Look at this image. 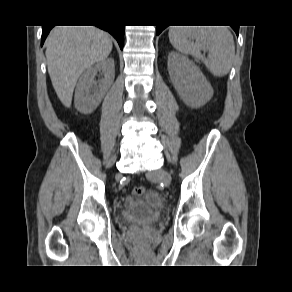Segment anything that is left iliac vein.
<instances>
[{
  "label": "left iliac vein",
  "instance_id": "1",
  "mask_svg": "<svg viewBox=\"0 0 292 292\" xmlns=\"http://www.w3.org/2000/svg\"><path fill=\"white\" fill-rule=\"evenodd\" d=\"M152 179H159L166 187L171 184V175L168 171L164 169H158L149 174Z\"/></svg>",
  "mask_w": 292,
  "mask_h": 292
}]
</instances>
